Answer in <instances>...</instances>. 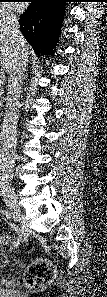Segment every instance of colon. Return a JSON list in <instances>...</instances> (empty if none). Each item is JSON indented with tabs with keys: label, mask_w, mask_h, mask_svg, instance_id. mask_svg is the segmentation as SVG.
Instances as JSON below:
<instances>
[{
	"label": "colon",
	"mask_w": 107,
	"mask_h": 297,
	"mask_svg": "<svg viewBox=\"0 0 107 297\" xmlns=\"http://www.w3.org/2000/svg\"><path fill=\"white\" fill-rule=\"evenodd\" d=\"M7 241V237H1V243H6ZM52 277V266L49 263L38 261L30 267L26 283L32 289L40 290L51 281Z\"/></svg>",
	"instance_id": "colon-1"
}]
</instances>
